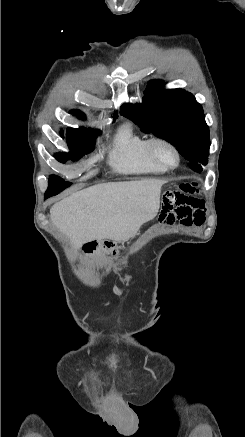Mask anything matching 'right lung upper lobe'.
I'll return each instance as SVG.
<instances>
[{
	"instance_id": "obj_1",
	"label": "right lung upper lobe",
	"mask_w": 245,
	"mask_h": 437,
	"mask_svg": "<svg viewBox=\"0 0 245 437\" xmlns=\"http://www.w3.org/2000/svg\"><path fill=\"white\" fill-rule=\"evenodd\" d=\"M69 113H72V114L76 115L78 118H80V116H82V119L85 118V115L81 111H79V110H72ZM114 116H115V118L117 117L116 114Z\"/></svg>"
}]
</instances>
